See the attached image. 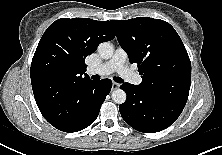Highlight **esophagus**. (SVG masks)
Listing matches in <instances>:
<instances>
[{"instance_id": "34e87169", "label": "esophagus", "mask_w": 222, "mask_h": 155, "mask_svg": "<svg viewBox=\"0 0 222 155\" xmlns=\"http://www.w3.org/2000/svg\"><path fill=\"white\" fill-rule=\"evenodd\" d=\"M119 86H120V85H119L118 83H116V82H113V83H112V89H113V90L118 89Z\"/></svg>"}]
</instances>
